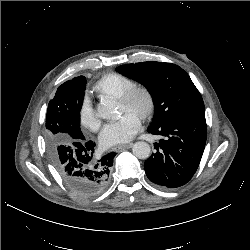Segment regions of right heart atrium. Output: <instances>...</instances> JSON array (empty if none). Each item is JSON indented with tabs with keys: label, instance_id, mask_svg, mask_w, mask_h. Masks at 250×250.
<instances>
[{
	"label": "right heart atrium",
	"instance_id": "1",
	"mask_svg": "<svg viewBox=\"0 0 250 250\" xmlns=\"http://www.w3.org/2000/svg\"><path fill=\"white\" fill-rule=\"evenodd\" d=\"M80 123L90 131H96L100 127V120L94 112L91 99L86 97L81 105L79 112Z\"/></svg>",
	"mask_w": 250,
	"mask_h": 250
}]
</instances>
